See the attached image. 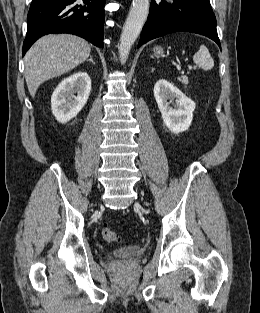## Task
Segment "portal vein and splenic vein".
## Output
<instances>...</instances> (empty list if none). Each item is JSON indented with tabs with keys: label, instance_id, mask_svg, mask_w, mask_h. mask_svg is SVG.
Returning <instances> with one entry per match:
<instances>
[{
	"label": "portal vein and splenic vein",
	"instance_id": "1",
	"mask_svg": "<svg viewBox=\"0 0 260 313\" xmlns=\"http://www.w3.org/2000/svg\"><path fill=\"white\" fill-rule=\"evenodd\" d=\"M192 68H194V67H192V66H189V69H192ZM181 73H184L183 71H181Z\"/></svg>",
	"mask_w": 260,
	"mask_h": 313
}]
</instances>
